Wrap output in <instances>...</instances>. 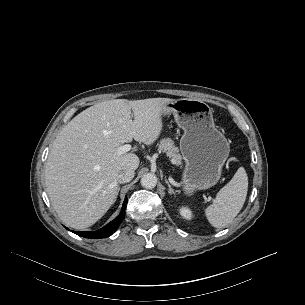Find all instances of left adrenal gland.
<instances>
[{
    "mask_svg": "<svg viewBox=\"0 0 305 305\" xmlns=\"http://www.w3.org/2000/svg\"><path fill=\"white\" fill-rule=\"evenodd\" d=\"M165 182H166L167 185H168V192H169V194H170V195L175 194L174 189L171 187L169 181H168L166 178H165Z\"/></svg>",
    "mask_w": 305,
    "mask_h": 305,
    "instance_id": "left-adrenal-gland-1",
    "label": "left adrenal gland"
}]
</instances>
